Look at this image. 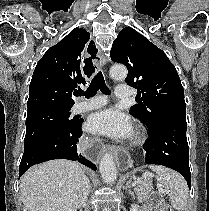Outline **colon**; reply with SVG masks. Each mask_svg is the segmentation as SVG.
Returning <instances> with one entry per match:
<instances>
[{
	"mask_svg": "<svg viewBox=\"0 0 209 211\" xmlns=\"http://www.w3.org/2000/svg\"><path fill=\"white\" fill-rule=\"evenodd\" d=\"M165 211H174L170 206H167Z\"/></svg>",
	"mask_w": 209,
	"mask_h": 211,
	"instance_id": "obj_1",
	"label": "colon"
}]
</instances>
